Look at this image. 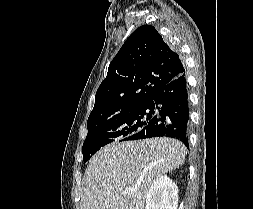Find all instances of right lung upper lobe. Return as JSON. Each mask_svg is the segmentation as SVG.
I'll return each instance as SVG.
<instances>
[{
  "label": "right lung upper lobe",
  "instance_id": "1",
  "mask_svg": "<svg viewBox=\"0 0 253 209\" xmlns=\"http://www.w3.org/2000/svg\"><path fill=\"white\" fill-rule=\"evenodd\" d=\"M184 72L179 55L153 26L143 25L127 38L111 61L88 119L149 104L170 81Z\"/></svg>",
  "mask_w": 253,
  "mask_h": 209
}]
</instances>
